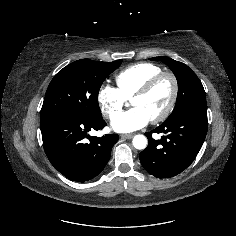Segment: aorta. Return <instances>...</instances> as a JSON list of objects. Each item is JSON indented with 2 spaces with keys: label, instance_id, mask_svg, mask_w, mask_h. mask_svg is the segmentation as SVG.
<instances>
[{
  "label": "aorta",
  "instance_id": "aorta-1",
  "mask_svg": "<svg viewBox=\"0 0 236 236\" xmlns=\"http://www.w3.org/2000/svg\"><path fill=\"white\" fill-rule=\"evenodd\" d=\"M133 146L138 149L142 150L145 149L147 146V138L144 135H135L132 140Z\"/></svg>",
  "mask_w": 236,
  "mask_h": 236
}]
</instances>
